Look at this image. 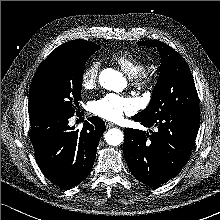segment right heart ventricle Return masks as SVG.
<instances>
[{
  "instance_id": "e07e8e85",
  "label": "right heart ventricle",
  "mask_w": 220,
  "mask_h": 220,
  "mask_svg": "<svg viewBox=\"0 0 220 220\" xmlns=\"http://www.w3.org/2000/svg\"><path fill=\"white\" fill-rule=\"evenodd\" d=\"M111 58L130 77H134L145 70L144 62L129 51H117L112 54Z\"/></svg>"
}]
</instances>
